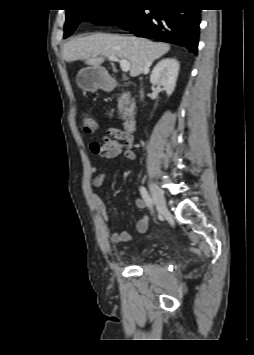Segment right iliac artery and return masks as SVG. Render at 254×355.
<instances>
[{"label":"right iliac artery","mask_w":254,"mask_h":355,"mask_svg":"<svg viewBox=\"0 0 254 355\" xmlns=\"http://www.w3.org/2000/svg\"><path fill=\"white\" fill-rule=\"evenodd\" d=\"M140 194L142 196V198L144 199L146 205L150 208V210L154 213V209H153V203H152V199L148 193V191L146 190L145 187H140Z\"/></svg>","instance_id":"right-iliac-artery-1"}]
</instances>
